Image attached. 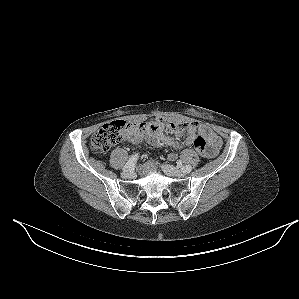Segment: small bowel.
<instances>
[{
	"instance_id": "c3829d8e",
	"label": "small bowel",
	"mask_w": 299,
	"mask_h": 299,
	"mask_svg": "<svg viewBox=\"0 0 299 299\" xmlns=\"http://www.w3.org/2000/svg\"><path fill=\"white\" fill-rule=\"evenodd\" d=\"M160 119H155L145 125L144 129L132 128L130 129L125 139L131 143L139 144L146 140L153 146H173L177 147V143L163 132V127L160 124ZM197 136H202L208 144L209 154L207 157H213L217 154L222 145L221 138L213 132L208 126L204 124L191 123L185 134V143L187 145L193 144ZM176 153H170L169 159L175 160ZM151 169H155L156 165L153 161L148 163Z\"/></svg>"
}]
</instances>
